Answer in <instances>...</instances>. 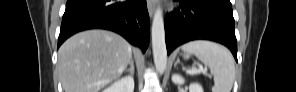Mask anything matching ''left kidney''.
<instances>
[{
  "label": "left kidney",
  "mask_w": 296,
  "mask_h": 92,
  "mask_svg": "<svg viewBox=\"0 0 296 92\" xmlns=\"http://www.w3.org/2000/svg\"><path fill=\"white\" fill-rule=\"evenodd\" d=\"M172 81H173V83H175L177 85H182L185 83L184 78L182 76H180L179 74H173ZM189 92H203V88L198 83H191L189 85Z\"/></svg>",
  "instance_id": "5707ae66"
}]
</instances>
